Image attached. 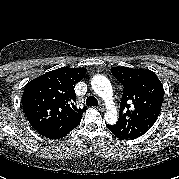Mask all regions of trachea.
Listing matches in <instances>:
<instances>
[{"mask_svg":"<svg viewBox=\"0 0 179 179\" xmlns=\"http://www.w3.org/2000/svg\"><path fill=\"white\" fill-rule=\"evenodd\" d=\"M86 105L87 106H97L98 100L94 96H89L86 99Z\"/></svg>","mask_w":179,"mask_h":179,"instance_id":"3493384b","label":"trachea"}]
</instances>
